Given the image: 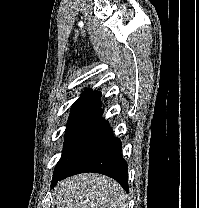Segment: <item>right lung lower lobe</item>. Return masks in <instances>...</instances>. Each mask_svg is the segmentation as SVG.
Here are the masks:
<instances>
[{
    "mask_svg": "<svg viewBox=\"0 0 199 208\" xmlns=\"http://www.w3.org/2000/svg\"><path fill=\"white\" fill-rule=\"evenodd\" d=\"M101 117L102 110L85 133L74 157L53 176L51 187L66 177L96 172L115 179L126 192H129L128 166L121 156V141L114 137L108 122Z\"/></svg>",
    "mask_w": 199,
    "mask_h": 208,
    "instance_id": "obj_1",
    "label": "right lung lower lobe"
}]
</instances>
